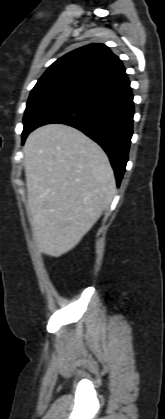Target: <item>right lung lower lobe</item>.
<instances>
[{"label": "right lung lower lobe", "mask_w": 165, "mask_h": 419, "mask_svg": "<svg viewBox=\"0 0 165 419\" xmlns=\"http://www.w3.org/2000/svg\"><path fill=\"white\" fill-rule=\"evenodd\" d=\"M133 115V95L125 77L53 110L35 128L61 123L84 132L108 154L119 186L128 161Z\"/></svg>", "instance_id": "98d812e1"}]
</instances>
